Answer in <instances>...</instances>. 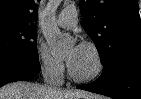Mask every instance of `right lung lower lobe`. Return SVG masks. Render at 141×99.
I'll use <instances>...</instances> for the list:
<instances>
[{"mask_svg": "<svg viewBox=\"0 0 141 99\" xmlns=\"http://www.w3.org/2000/svg\"><path fill=\"white\" fill-rule=\"evenodd\" d=\"M39 61L24 59L0 60V87L21 80H29L40 72Z\"/></svg>", "mask_w": 141, "mask_h": 99, "instance_id": "98d812e1", "label": "right lung lower lobe"}]
</instances>
